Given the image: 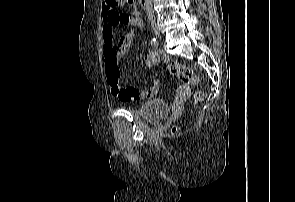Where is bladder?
Instances as JSON below:
<instances>
[{"label": "bladder", "mask_w": 295, "mask_h": 202, "mask_svg": "<svg viewBox=\"0 0 295 202\" xmlns=\"http://www.w3.org/2000/svg\"><path fill=\"white\" fill-rule=\"evenodd\" d=\"M169 113V105L166 101L155 98L144 103L137 111L139 117L145 121H159Z\"/></svg>", "instance_id": "bladder-1"}]
</instances>
